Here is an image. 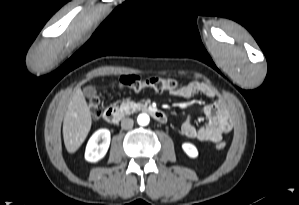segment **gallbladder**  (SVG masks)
Wrapping results in <instances>:
<instances>
[{
  "mask_svg": "<svg viewBox=\"0 0 299 205\" xmlns=\"http://www.w3.org/2000/svg\"><path fill=\"white\" fill-rule=\"evenodd\" d=\"M84 94L87 98H92V97H95L96 94H97V90L95 87L93 86H86L84 89Z\"/></svg>",
  "mask_w": 299,
  "mask_h": 205,
  "instance_id": "1",
  "label": "gallbladder"
}]
</instances>
